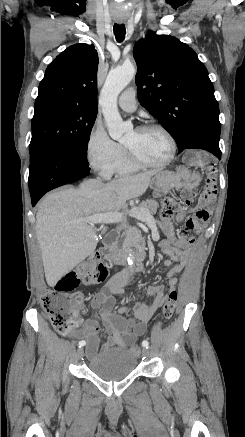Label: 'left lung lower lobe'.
Here are the masks:
<instances>
[{"label":"left lung lower lobe","instance_id":"1","mask_svg":"<svg viewBox=\"0 0 245 437\" xmlns=\"http://www.w3.org/2000/svg\"><path fill=\"white\" fill-rule=\"evenodd\" d=\"M186 148L204 149L213 153L218 159L221 158L219 139L212 137L210 135H202L193 138L188 142Z\"/></svg>","mask_w":245,"mask_h":437}]
</instances>
